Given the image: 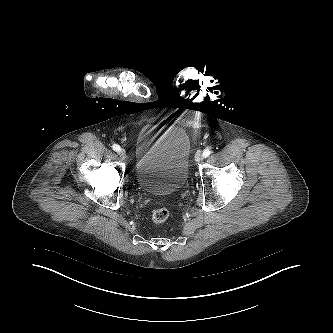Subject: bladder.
<instances>
[{
  "label": "bladder",
  "mask_w": 333,
  "mask_h": 333,
  "mask_svg": "<svg viewBox=\"0 0 333 333\" xmlns=\"http://www.w3.org/2000/svg\"><path fill=\"white\" fill-rule=\"evenodd\" d=\"M190 155L187 132L178 126L167 128L138 154L134 170L137 185L158 196L181 190L188 179Z\"/></svg>",
  "instance_id": "bladder-1"
}]
</instances>
